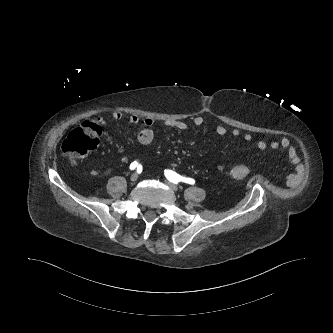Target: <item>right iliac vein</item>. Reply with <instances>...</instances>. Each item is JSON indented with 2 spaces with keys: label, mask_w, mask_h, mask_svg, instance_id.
Here are the masks:
<instances>
[{
  "label": "right iliac vein",
  "mask_w": 333,
  "mask_h": 333,
  "mask_svg": "<svg viewBox=\"0 0 333 333\" xmlns=\"http://www.w3.org/2000/svg\"><path fill=\"white\" fill-rule=\"evenodd\" d=\"M130 179H131L132 182H136L137 179H138V174H137V173H133V174L131 175Z\"/></svg>",
  "instance_id": "63e3f726"
}]
</instances>
